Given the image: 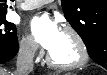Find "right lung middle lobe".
<instances>
[{
	"label": "right lung middle lobe",
	"mask_w": 107,
	"mask_h": 75,
	"mask_svg": "<svg viewBox=\"0 0 107 75\" xmlns=\"http://www.w3.org/2000/svg\"><path fill=\"white\" fill-rule=\"evenodd\" d=\"M17 41L16 27L6 20L5 16L0 17V45H10Z\"/></svg>",
	"instance_id": "dd1d6c3e"
}]
</instances>
